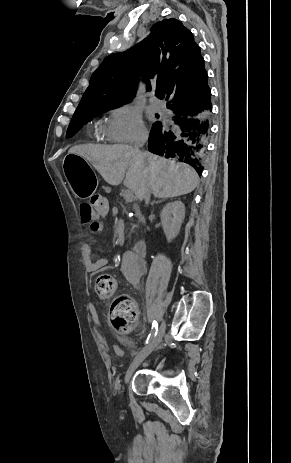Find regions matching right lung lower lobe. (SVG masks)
Segmentation results:
<instances>
[{"label": "right lung lower lobe", "mask_w": 291, "mask_h": 463, "mask_svg": "<svg viewBox=\"0 0 291 463\" xmlns=\"http://www.w3.org/2000/svg\"><path fill=\"white\" fill-rule=\"evenodd\" d=\"M200 98L193 101L177 100L168 104L173 112V124L156 122L149 136V150L165 158H174L191 165L198 173L203 171L211 122V91L204 76Z\"/></svg>", "instance_id": "obj_1"}]
</instances>
